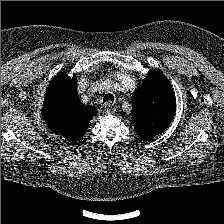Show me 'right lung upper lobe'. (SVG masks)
Wrapping results in <instances>:
<instances>
[{
  "instance_id": "obj_1",
  "label": "right lung upper lobe",
  "mask_w": 224,
  "mask_h": 224,
  "mask_svg": "<svg viewBox=\"0 0 224 224\" xmlns=\"http://www.w3.org/2000/svg\"><path fill=\"white\" fill-rule=\"evenodd\" d=\"M75 77L59 74L50 83L43 103L47 126L69 141L80 140L87 131L94 108L79 103Z\"/></svg>"
}]
</instances>
